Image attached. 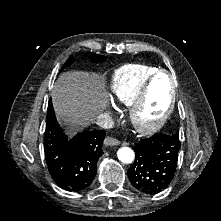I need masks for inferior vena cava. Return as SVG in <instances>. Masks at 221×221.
Returning <instances> with one entry per match:
<instances>
[{
  "mask_svg": "<svg viewBox=\"0 0 221 221\" xmlns=\"http://www.w3.org/2000/svg\"><path fill=\"white\" fill-rule=\"evenodd\" d=\"M96 123L104 129H110L114 126V120L108 113L99 114Z\"/></svg>",
  "mask_w": 221,
  "mask_h": 221,
  "instance_id": "inferior-vena-cava-1",
  "label": "inferior vena cava"
}]
</instances>
